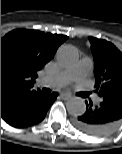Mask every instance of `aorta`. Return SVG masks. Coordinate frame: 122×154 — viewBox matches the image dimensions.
<instances>
[{
	"label": "aorta",
	"mask_w": 122,
	"mask_h": 154,
	"mask_svg": "<svg viewBox=\"0 0 122 154\" xmlns=\"http://www.w3.org/2000/svg\"><path fill=\"white\" fill-rule=\"evenodd\" d=\"M78 57L77 49L71 45L61 46L56 54L58 63L63 67L74 66ZM66 108L71 115H82L86 111V104L82 98L72 97L67 101Z\"/></svg>",
	"instance_id": "aorta-1"
}]
</instances>
